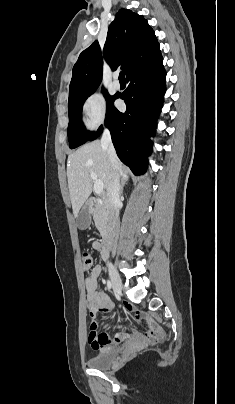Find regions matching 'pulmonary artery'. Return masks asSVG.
<instances>
[{
    "instance_id": "e3ab8cb5",
    "label": "pulmonary artery",
    "mask_w": 235,
    "mask_h": 404,
    "mask_svg": "<svg viewBox=\"0 0 235 404\" xmlns=\"http://www.w3.org/2000/svg\"><path fill=\"white\" fill-rule=\"evenodd\" d=\"M113 87L116 90L120 89V87H121L117 73L114 74Z\"/></svg>"
}]
</instances>
